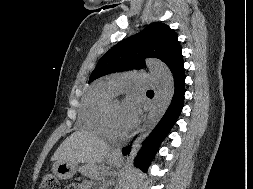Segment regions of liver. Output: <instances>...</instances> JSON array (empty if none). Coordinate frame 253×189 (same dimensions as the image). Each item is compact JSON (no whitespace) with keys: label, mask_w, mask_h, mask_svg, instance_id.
<instances>
[{"label":"liver","mask_w":253,"mask_h":189,"mask_svg":"<svg viewBox=\"0 0 253 189\" xmlns=\"http://www.w3.org/2000/svg\"><path fill=\"white\" fill-rule=\"evenodd\" d=\"M110 148L96 135L78 130L67 137L58 147L52 161L75 162L87 164L88 170L95 175L97 166L105 156H108Z\"/></svg>","instance_id":"1"}]
</instances>
